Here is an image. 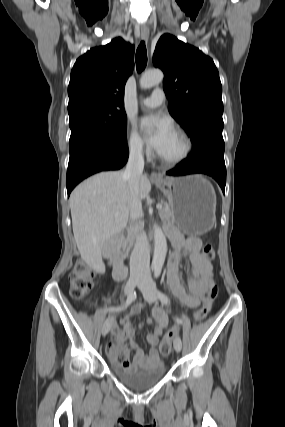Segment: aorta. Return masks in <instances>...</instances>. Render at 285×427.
<instances>
[{
  "label": "aorta",
  "instance_id": "1",
  "mask_svg": "<svg viewBox=\"0 0 285 427\" xmlns=\"http://www.w3.org/2000/svg\"><path fill=\"white\" fill-rule=\"evenodd\" d=\"M164 74L161 70L155 69L144 73L140 79L142 89H148L163 81ZM167 253L166 237L158 225H154V254L152 267L161 270Z\"/></svg>",
  "mask_w": 285,
  "mask_h": 427
}]
</instances>
